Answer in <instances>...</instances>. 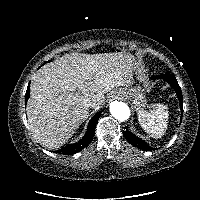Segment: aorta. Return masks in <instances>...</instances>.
Instances as JSON below:
<instances>
[{"mask_svg":"<svg viewBox=\"0 0 200 200\" xmlns=\"http://www.w3.org/2000/svg\"><path fill=\"white\" fill-rule=\"evenodd\" d=\"M110 113L120 121H125L130 117V109L124 102L113 101L110 104Z\"/></svg>","mask_w":200,"mask_h":200,"instance_id":"1","label":"aorta"}]
</instances>
